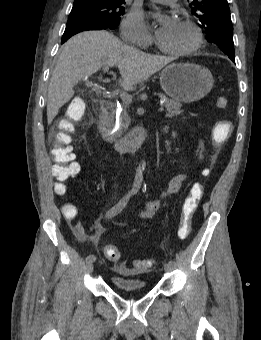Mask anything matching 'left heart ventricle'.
<instances>
[{"instance_id": "obj_1", "label": "left heart ventricle", "mask_w": 261, "mask_h": 340, "mask_svg": "<svg viewBox=\"0 0 261 340\" xmlns=\"http://www.w3.org/2000/svg\"><path fill=\"white\" fill-rule=\"evenodd\" d=\"M160 43L170 50H184L190 48L194 42L195 37L193 31L182 23H178L175 30L168 36L163 37Z\"/></svg>"}]
</instances>
